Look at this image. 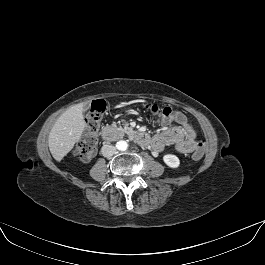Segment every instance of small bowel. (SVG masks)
Listing matches in <instances>:
<instances>
[{
    "instance_id": "small-bowel-1",
    "label": "small bowel",
    "mask_w": 265,
    "mask_h": 265,
    "mask_svg": "<svg viewBox=\"0 0 265 265\" xmlns=\"http://www.w3.org/2000/svg\"><path fill=\"white\" fill-rule=\"evenodd\" d=\"M158 122L165 129L151 139V146L155 151H162L168 146H173L180 153H192L204 147L196 138L194 129L186 120L180 121L173 118H158ZM172 123H178L177 127H170Z\"/></svg>"
}]
</instances>
